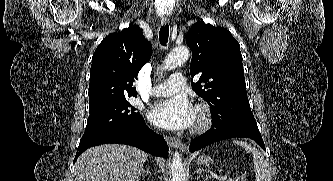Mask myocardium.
<instances>
[{"label":"myocardium","mask_w":333,"mask_h":181,"mask_svg":"<svg viewBox=\"0 0 333 181\" xmlns=\"http://www.w3.org/2000/svg\"><path fill=\"white\" fill-rule=\"evenodd\" d=\"M195 122L191 131L194 133L205 131L212 122V111L208 104L199 103L195 107Z\"/></svg>","instance_id":"1"}]
</instances>
